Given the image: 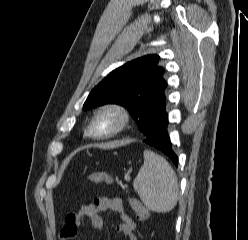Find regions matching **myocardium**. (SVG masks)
I'll list each match as a JSON object with an SVG mask.
<instances>
[{
    "mask_svg": "<svg viewBox=\"0 0 248 240\" xmlns=\"http://www.w3.org/2000/svg\"><path fill=\"white\" fill-rule=\"evenodd\" d=\"M103 112L114 113L118 117L119 122H118V125L113 130L106 132V133L97 134L94 131L95 120L97 116ZM129 122H130V113L125 106L119 103H116V102H107V103L101 104L94 111L90 124H89V133L92 137H95V138H101V139L110 138V137L117 135L121 131H123L129 124Z\"/></svg>",
    "mask_w": 248,
    "mask_h": 240,
    "instance_id": "1",
    "label": "myocardium"
}]
</instances>
